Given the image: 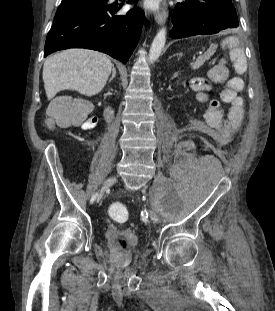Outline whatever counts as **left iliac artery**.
Masks as SVG:
<instances>
[{"mask_svg":"<svg viewBox=\"0 0 275 311\" xmlns=\"http://www.w3.org/2000/svg\"><path fill=\"white\" fill-rule=\"evenodd\" d=\"M147 214V213H146ZM142 216L144 217V220H146V218L148 217V214H147V217L145 216L144 213H142Z\"/></svg>","mask_w":275,"mask_h":311,"instance_id":"obj_1","label":"left iliac artery"}]
</instances>
